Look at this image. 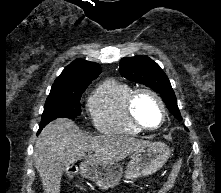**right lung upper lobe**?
Here are the masks:
<instances>
[{"instance_id": "1", "label": "right lung upper lobe", "mask_w": 221, "mask_h": 193, "mask_svg": "<svg viewBox=\"0 0 221 193\" xmlns=\"http://www.w3.org/2000/svg\"><path fill=\"white\" fill-rule=\"evenodd\" d=\"M100 73L97 63L76 59L56 78L51 90L89 85Z\"/></svg>"}]
</instances>
